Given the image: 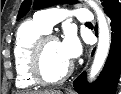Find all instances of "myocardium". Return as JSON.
<instances>
[{"mask_svg": "<svg viewBox=\"0 0 121 94\" xmlns=\"http://www.w3.org/2000/svg\"><path fill=\"white\" fill-rule=\"evenodd\" d=\"M49 41H59L58 37L53 34H44L38 37L32 44L28 54V70L31 78L40 85L53 86L65 81L73 71V63L57 78L48 79L45 77L42 69L43 49Z\"/></svg>", "mask_w": 121, "mask_h": 94, "instance_id": "obj_1", "label": "myocardium"}]
</instances>
